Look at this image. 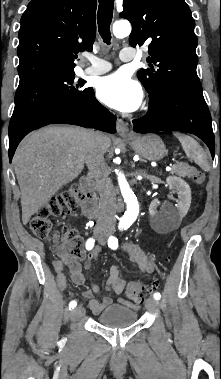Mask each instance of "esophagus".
Instances as JSON below:
<instances>
[{
    "label": "esophagus",
    "mask_w": 221,
    "mask_h": 379,
    "mask_svg": "<svg viewBox=\"0 0 221 379\" xmlns=\"http://www.w3.org/2000/svg\"><path fill=\"white\" fill-rule=\"evenodd\" d=\"M117 132L121 136L129 135L128 125L122 119H117Z\"/></svg>",
    "instance_id": "esophagus-1"
}]
</instances>
